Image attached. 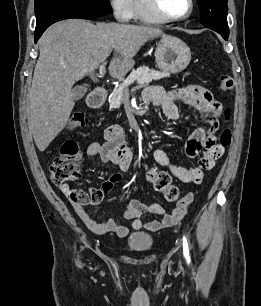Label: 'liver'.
Listing matches in <instances>:
<instances>
[{"instance_id":"obj_1","label":"liver","mask_w":261,"mask_h":306,"mask_svg":"<svg viewBox=\"0 0 261 306\" xmlns=\"http://www.w3.org/2000/svg\"><path fill=\"white\" fill-rule=\"evenodd\" d=\"M164 36L150 26L68 19L49 27L40 38V55L29 93L28 127L44 151L66 126L74 107L73 85L105 64L114 53L109 74L122 79L134 66L140 48Z\"/></svg>"}]
</instances>
